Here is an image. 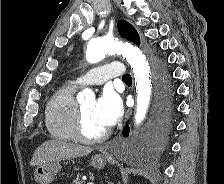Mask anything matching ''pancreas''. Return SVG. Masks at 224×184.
<instances>
[{
	"label": "pancreas",
	"instance_id": "1",
	"mask_svg": "<svg viewBox=\"0 0 224 184\" xmlns=\"http://www.w3.org/2000/svg\"><path fill=\"white\" fill-rule=\"evenodd\" d=\"M74 184H83L82 180L80 179V176L78 175L77 178L74 180Z\"/></svg>",
	"mask_w": 224,
	"mask_h": 184
}]
</instances>
